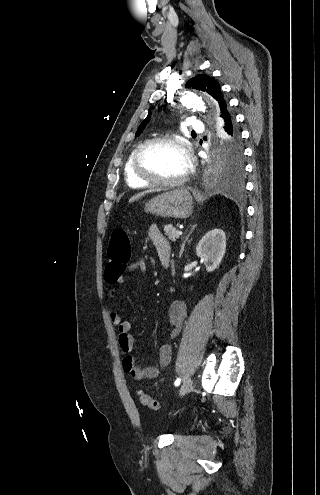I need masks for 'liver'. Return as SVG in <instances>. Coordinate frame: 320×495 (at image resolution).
Wrapping results in <instances>:
<instances>
[{"instance_id":"6515ba94","label":"liver","mask_w":320,"mask_h":495,"mask_svg":"<svg viewBox=\"0 0 320 495\" xmlns=\"http://www.w3.org/2000/svg\"><path fill=\"white\" fill-rule=\"evenodd\" d=\"M151 192H153V190H148V191L138 193L129 199V203L135 202V201L139 200L141 197H143L145 194H148Z\"/></svg>"}]
</instances>
